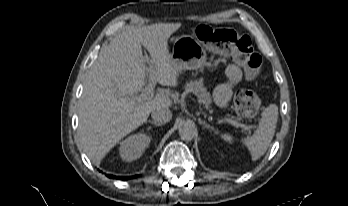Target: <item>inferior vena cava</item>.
I'll use <instances>...</instances> for the list:
<instances>
[{"mask_svg": "<svg viewBox=\"0 0 348 206\" xmlns=\"http://www.w3.org/2000/svg\"><path fill=\"white\" fill-rule=\"evenodd\" d=\"M151 117L157 123L164 124L172 119V112L168 108L158 107L152 111Z\"/></svg>", "mask_w": 348, "mask_h": 206, "instance_id": "inferior-vena-cava-1", "label": "inferior vena cava"}]
</instances>
